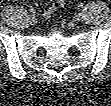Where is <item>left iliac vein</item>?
Segmentation results:
<instances>
[{
	"instance_id": "1",
	"label": "left iliac vein",
	"mask_w": 111,
	"mask_h": 106,
	"mask_svg": "<svg viewBox=\"0 0 111 106\" xmlns=\"http://www.w3.org/2000/svg\"><path fill=\"white\" fill-rule=\"evenodd\" d=\"M82 19H83V14L82 13L76 14V16H75L76 21H81Z\"/></svg>"
}]
</instances>
